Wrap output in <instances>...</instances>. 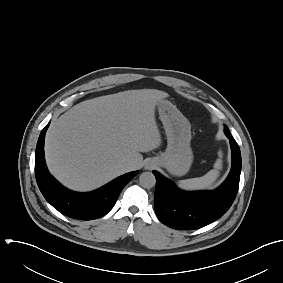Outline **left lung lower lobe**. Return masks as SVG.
Instances as JSON below:
<instances>
[{
  "label": "left lung lower lobe",
  "instance_id": "left-lung-lower-lobe-1",
  "mask_svg": "<svg viewBox=\"0 0 283 283\" xmlns=\"http://www.w3.org/2000/svg\"><path fill=\"white\" fill-rule=\"evenodd\" d=\"M225 134L230 139L232 168L227 179L217 189L184 192L160 173L153 171L157 179L155 212L163 224L177 230L198 229L214 222L228 211L239 187L241 153L231 133Z\"/></svg>",
  "mask_w": 283,
  "mask_h": 283
}]
</instances>
